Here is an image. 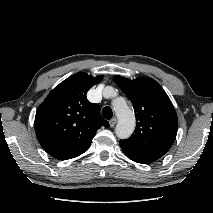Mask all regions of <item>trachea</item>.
Returning a JSON list of instances; mask_svg holds the SVG:
<instances>
[{
	"mask_svg": "<svg viewBox=\"0 0 213 213\" xmlns=\"http://www.w3.org/2000/svg\"><path fill=\"white\" fill-rule=\"evenodd\" d=\"M102 115L105 119L110 120L113 116L112 109L109 106H106L102 109Z\"/></svg>",
	"mask_w": 213,
	"mask_h": 213,
	"instance_id": "trachea-1",
	"label": "trachea"
}]
</instances>
